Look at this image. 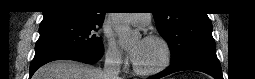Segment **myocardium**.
I'll list each match as a JSON object with an SVG mask.
<instances>
[{
    "label": "myocardium",
    "mask_w": 255,
    "mask_h": 79,
    "mask_svg": "<svg viewBox=\"0 0 255 79\" xmlns=\"http://www.w3.org/2000/svg\"><path fill=\"white\" fill-rule=\"evenodd\" d=\"M144 40L158 42L163 49V58L158 66L152 69H142L133 62V70L139 75H154L162 72L168 67L171 61L172 53L169 43L159 35H148Z\"/></svg>",
    "instance_id": "myocardium-1"
}]
</instances>
